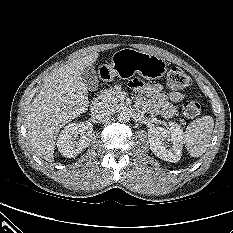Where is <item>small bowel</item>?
Here are the masks:
<instances>
[{
    "label": "small bowel",
    "mask_w": 233,
    "mask_h": 233,
    "mask_svg": "<svg viewBox=\"0 0 233 233\" xmlns=\"http://www.w3.org/2000/svg\"><path fill=\"white\" fill-rule=\"evenodd\" d=\"M130 87L137 94L136 105L139 109L167 118L175 114L176 105L186 97L182 92H165L160 84L146 83L140 80L131 81Z\"/></svg>",
    "instance_id": "obj_1"
}]
</instances>
